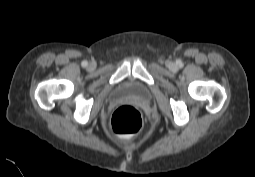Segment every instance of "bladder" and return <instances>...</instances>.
<instances>
[{"instance_id":"bladder-1","label":"bladder","mask_w":255,"mask_h":177,"mask_svg":"<svg viewBox=\"0 0 255 177\" xmlns=\"http://www.w3.org/2000/svg\"><path fill=\"white\" fill-rule=\"evenodd\" d=\"M150 92L148 87L137 79H128L122 82L115 90L116 98L133 97L140 101L147 100Z\"/></svg>"}]
</instances>
